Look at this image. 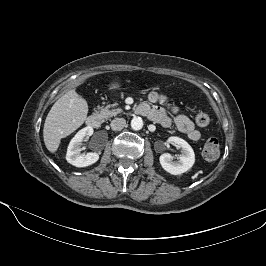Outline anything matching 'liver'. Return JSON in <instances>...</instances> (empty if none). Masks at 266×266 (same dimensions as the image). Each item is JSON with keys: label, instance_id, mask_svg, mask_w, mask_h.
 <instances>
[{"label": "liver", "instance_id": "6515ba94", "mask_svg": "<svg viewBox=\"0 0 266 266\" xmlns=\"http://www.w3.org/2000/svg\"><path fill=\"white\" fill-rule=\"evenodd\" d=\"M88 114L87 101L72 89L60 97L49 111L43 129L46 148L54 153L60 140L69 136L86 120Z\"/></svg>", "mask_w": 266, "mask_h": 266}]
</instances>
